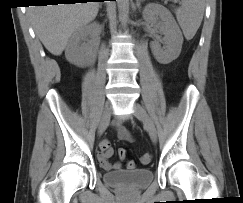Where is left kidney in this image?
Masks as SVG:
<instances>
[{"label":"left kidney","mask_w":243,"mask_h":203,"mask_svg":"<svg viewBox=\"0 0 243 203\" xmlns=\"http://www.w3.org/2000/svg\"><path fill=\"white\" fill-rule=\"evenodd\" d=\"M143 18L146 22L155 25L158 18L161 22L156 26L164 34L165 46L161 48L158 41L150 44L152 53L161 64H169L180 55L183 36L172 14L163 6L148 4L143 10Z\"/></svg>","instance_id":"5707ae66"}]
</instances>
